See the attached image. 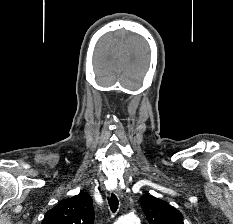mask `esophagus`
I'll return each mask as SVG.
<instances>
[{
    "label": "esophagus",
    "mask_w": 233,
    "mask_h": 224,
    "mask_svg": "<svg viewBox=\"0 0 233 224\" xmlns=\"http://www.w3.org/2000/svg\"><path fill=\"white\" fill-rule=\"evenodd\" d=\"M114 193H115V195H116L117 197H119V198H122V197H123V193H122V190H121L120 188H116V189L114 190Z\"/></svg>",
    "instance_id": "obj_1"
}]
</instances>
